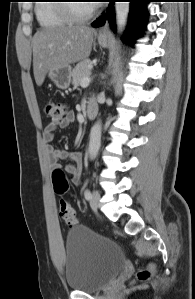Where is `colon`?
I'll use <instances>...</instances> for the list:
<instances>
[{"mask_svg": "<svg viewBox=\"0 0 195 299\" xmlns=\"http://www.w3.org/2000/svg\"><path fill=\"white\" fill-rule=\"evenodd\" d=\"M67 111L68 106L64 101H49L45 105V113L54 123L63 120ZM52 181L54 190L58 195H62L67 191L69 181L62 169L55 168L52 171ZM59 213L68 226L74 227L78 224L74 209L65 199L60 200ZM152 272V266L141 268L137 272V279L139 281H147L151 278Z\"/></svg>", "mask_w": 195, "mask_h": 299, "instance_id": "1", "label": "colon"}]
</instances>
